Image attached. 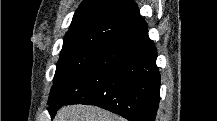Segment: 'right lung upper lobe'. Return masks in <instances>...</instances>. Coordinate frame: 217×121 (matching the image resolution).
Instances as JSON below:
<instances>
[{
  "label": "right lung upper lobe",
  "mask_w": 217,
  "mask_h": 121,
  "mask_svg": "<svg viewBox=\"0 0 217 121\" xmlns=\"http://www.w3.org/2000/svg\"><path fill=\"white\" fill-rule=\"evenodd\" d=\"M139 15V9L133 0H84L76 10L69 30L105 20L128 24Z\"/></svg>",
  "instance_id": "1"
}]
</instances>
